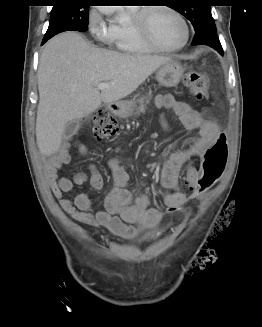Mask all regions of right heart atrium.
Listing matches in <instances>:
<instances>
[{"label":"right heart atrium","mask_w":262,"mask_h":327,"mask_svg":"<svg viewBox=\"0 0 262 327\" xmlns=\"http://www.w3.org/2000/svg\"><path fill=\"white\" fill-rule=\"evenodd\" d=\"M88 28L99 41L103 43L113 42V25L106 21L103 9L94 8L90 11L88 16Z\"/></svg>","instance_id":"1"}]
</instances>
